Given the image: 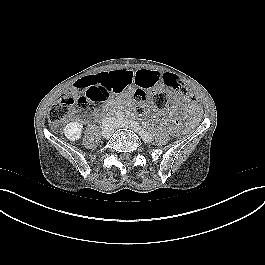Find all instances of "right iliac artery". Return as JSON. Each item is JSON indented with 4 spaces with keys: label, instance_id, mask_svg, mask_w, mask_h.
Returning a JSON list of instances; mask_svg holds the SVG:
<instances>
[{
    "label": "right iliac artery",
    "instance_id": "right-iliac-artery-1",
    "mask_svg": "<svg viewBox=\"0 0 265 265\" xmlns=\"http://www.w3.org/2000/svg\"><path fill=\"white\" fill-rule=\"evenodd\" d=\"M116 117H117L118 120H122L124 115H123L122 112H117Z\"/></svg>",
    "mask_w": 265,
    "mask_h": 265
}]
</instances>
